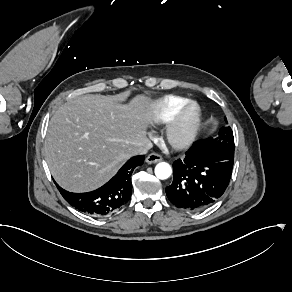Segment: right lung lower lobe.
Masks as SVG:
<instances>
[{"instance_id": "obj_1", "label": "right lung lower lobe", "mask_w": 292, "mask_h": 292, "mask_svg": "<svg viewBox=\"0 0 292 292\" xmlns=\"http://www.w3.org/2000/svg\"><path fill=\"white\" fill-rule=\"evenodd\" d=\"M143 162L144 155L132 157L109 182L91 192L72 193L55 184L71 206L83 213L101 217L114 213L121 206L127 204L132 194V172Z\"/></svg>"}]
</instances>
